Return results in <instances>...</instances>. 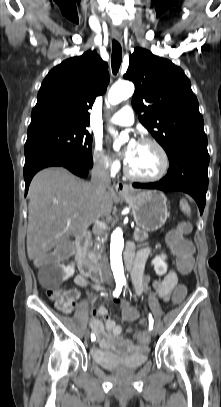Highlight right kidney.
<instances>
[{
	"label": "right kidney",
	"instance_id": "obj_1",
	"mask_svg": "<svg viewBox=\"0 0 221 407\" xmlns=\"http://www.w3.org/2000/svg\"><path fill=\"white\" fill-rule=\"evenodd\" d=\"M56 272L63 281L67 280L74 275V263L68 266L60 265L56 268Z\"/></svg>",
	"mask_w": 221,
	"mask_h": 407
}]
</instances>
